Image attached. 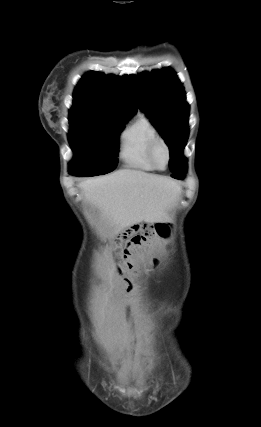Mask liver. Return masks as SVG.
<instances>
[{
    "instance_id": "liver-1",
    "label": "liver",
    "mask_w": 261,
    "mask_h": 427,
    "mask_svg": "<svg viewBox=\"0 0 261 427\" xmlns=\"http://www.w3.org/2000/svg\"><path fill=\"white\" fill-rule=\"evenodd\" d=\"M88 202L115 227V233L140 223L168 219L181 187L175 181L138 170L124 169L79 183Z\"/></svg>"
}]
</instances>
